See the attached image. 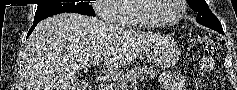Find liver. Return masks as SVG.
Instances as JSON below:
<instances>
[{"instance_id":"1","label":"liver","mask_w":237,"mask_h":90,"mask_svg":"<svg viewBox=\"0 0 237 90\" xmlns=\"http://www.w3.org/2000/svg\"><path fill=\"white\" fill-rule=\"evenodd\" d=\"M162 36L119 28L80 14H57L37 24L29 36L22 68L26 90H82L78 74H88L89 62L103 70H118L139 58Z\"/></svg>"}]
</instances>
